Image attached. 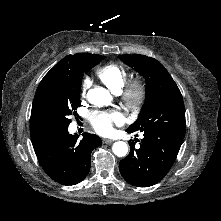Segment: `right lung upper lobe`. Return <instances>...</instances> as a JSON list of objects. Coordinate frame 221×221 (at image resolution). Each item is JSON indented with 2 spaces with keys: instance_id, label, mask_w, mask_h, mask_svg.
<instances>
[{
  "instance_id": "right-lung-upper-lobe-1",
  "label": "right lung upper lobe",
  "mask_w": 221,
  "mask_h": 221,
  "mask_svg": "<svg viewBox=\"0 0 221 221\" xmlns=\"http://www.w3.org/2000/svg\"><path fill=\"white\" fill-rule=\"evenodd\" d=\"M84 55L85 54H75L66 56L60 60L41 80L32 104L30 118L31 139H35L49 133L39 124L36 116V100L41 88L48 83H59L72 79L74 77L75 66L80 58Z\"/></svg>"
}]
</instances>
